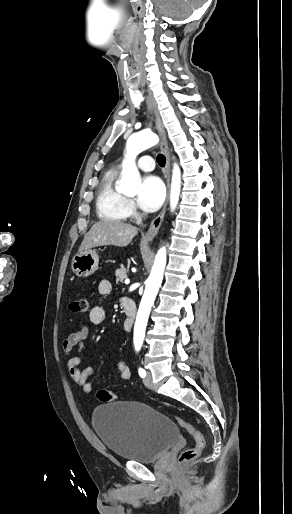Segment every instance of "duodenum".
<instances>
[{
	"label": "duodenum",
	"instance_id": "duodenum-1",
	"mask_svg": "<svg viewBox=\"0 0 292 514\" xmlns=\"http://www.w3.org/2000/svg\"><path fill=\"white\" fill-rule=\"evenodd\" d=\"M122 306L127 313V318L124 323V330L130 332L133 325V320L136 315V303L132 298H123Z\"/></svg>",
	"mask_w": 292,
	"mask_h": 514
}]
</instances>
